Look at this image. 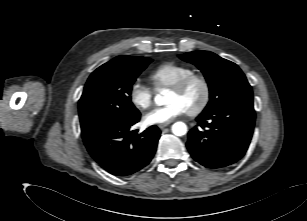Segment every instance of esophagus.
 <instances>
[{
  "label": "esophagus",
  "mask_w": 307,
  "mask_h": 221,
  "mask_svg": "<svg viewBox=\"0 0 307 221\" xmlns=\"http://www.w3.org/2000/svg\"><path fill=\"white\" fill-rule=\"evenodd\" d=\"M169 124H170V122H169V123H165V124H160V125H158V127H159L160 129H164V128L167 127Z\"/></svg>",
  "instance_id": "obj_1"
}]
</instances>
